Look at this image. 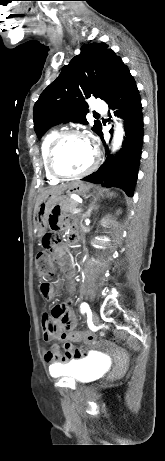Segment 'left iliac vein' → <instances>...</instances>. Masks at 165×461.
I'll list each match as a JSON object with an SVG mask.
<instances>
[{"instance_id":"1","label":"left iliac vein","mask_w":165,"mask_h":461,"mask_svg":"<svg viewBox=\"0 0 165 461\" xmlns=\"http://www.w3.org/2000/svg\"><path fill=\"white\" fill-rule=\"evenodd\" d=\"M91 320L95 324L98 323V321H99V316L95 311L91 312Z\"/></svg>"}]
</instances>
